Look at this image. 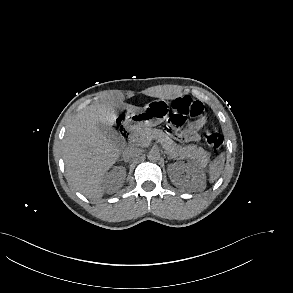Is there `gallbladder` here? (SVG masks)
<instances>
[{"label":"gallbladder","mask_w":293,"mask_h":293,"mask_svg":"<svg viewBox=\"0 0 293 293\" xmlns=\"http://www.w3.org/2000/svg\"><path fill=\"white\" fill-rule=\"evenodd\" d=\"M98 129L100 130L101 133H103L108 139L115 143H121L122 139L118 132L113 129L112 127L104 124H99Z\"/></svg>","instance_id":"gallbladder-1"}]
</instances>
